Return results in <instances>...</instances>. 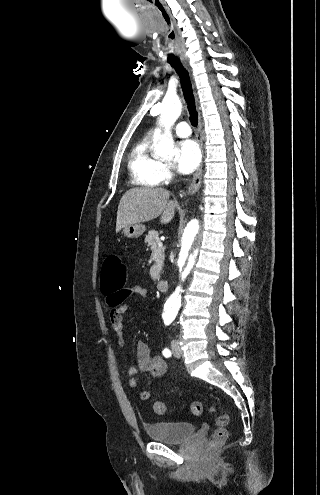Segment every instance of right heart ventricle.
I'll return each mask as SVG.
<instances>
[{
    "instance_id": "obj_1",
    "label": "right heart ventricle",
    "mask_w": 320,
    "mask_h": 495,
    "mask_svg": "<svg viewBox=\"0 0 320 495\" xmlns=\"http://www.w3.org/2000/svg\"><path fill=\"white\" fill-rule=\"evenodd\" d=\"M153 136L148 134L133 147L128 167L132 181L139 186L154 187L159 182L157 179L161 162L153 155L151 150Z\"/></svg>"
}]
</instances>
